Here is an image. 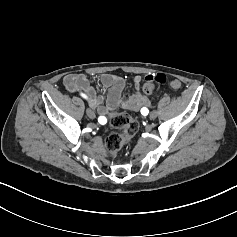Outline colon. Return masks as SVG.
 Instances as JSON below:
<instances>
[{"label": "colon", "mask_w": 237, "mask_h": 237, "mask_svg": "<svg viewBox=\"0 0 237 237\" xmlns=\"http://www.w3.org/2000/svg\"><path fill=\"white\" fill-rule=\"evenodd\" d=\"M167 82V78L164 74L158 73L153 78L148 79L143 85V91L146 94L152 93L156 85H163ZM110 123L114 128L122 129L123 132H113L109 134L105 139V147L108 154L115 158L117 157L121 148L130 143L139 130V124L136 120L130 117L126 113H113L110 119Z\"/></svg>", "instance_id": "obj_1"}]
</instances>
